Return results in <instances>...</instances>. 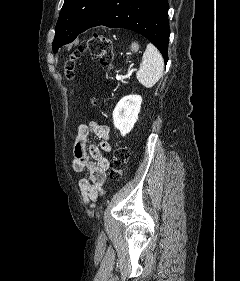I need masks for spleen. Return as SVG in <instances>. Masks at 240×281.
<instances>
[{
  "mask_svg": "<svg viewBox=\"0 0 240 281\" xmlns=\"http://www.w3.org/2000/svg\"><path fill=\"white\" fill-rule=\"evenodd\" d=\"M164 60L158 49L149 43L143 54L140 69L136 74L137 80L146 88L153 87L161 78Z\"/></svg>",
  "mask_w": 240,
  "mask_h": 281,
  "instance_id": "spleen-1",
  "label": "spleen"
}]
</instances>
